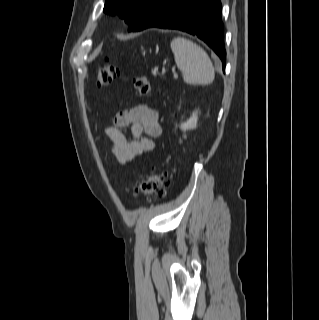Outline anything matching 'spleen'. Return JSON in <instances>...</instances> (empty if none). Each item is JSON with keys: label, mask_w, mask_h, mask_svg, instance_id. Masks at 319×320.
Returning <instances> with one entry per match:
<instances>
[{"label": "spleen", "mask_w": 319, "mask_h": 320, "mask_svg": "<svg viewBox=\"0 0 319 320\" xmlns=\"http://www.w3.org/2000/svg\"><path fill=\"white\" fill-rule=\"evenodd\" d=\"M170 46L176 65L182 71L186 83L198 85L213 82V64L201 47L183 37L174 38Z\"/></svg>", "instance_id": "1"}]
</instances>
